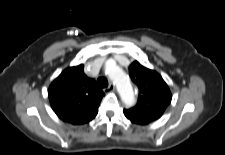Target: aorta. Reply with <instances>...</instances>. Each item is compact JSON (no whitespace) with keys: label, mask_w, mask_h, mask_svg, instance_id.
Instances as JSON below:
<instances>
[{"label":"aorta","mask_w":225,"mask_h":155,"mask_svg":"<svg viewBox=\"0 0 225 155\" xmlns=\"http://www.w3.org/2000/svg\"><path fill=\"white\" fill-rule=\"evenodd\" d=\"M106 71L110 79L115 83L123 103L127 106L134 104V92L129 78L123 70L114 62L106 63Z\"/></svg>","instance_id":"obj_1"}]
</instances>
